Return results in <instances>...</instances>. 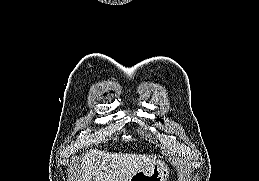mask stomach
I'll list each match as a JSON object with an SVG mask.
<instances>
[{
  "instance_id": "stomach-1",
  "label": "stomach",
  "mask_w": 259,
  "mask_h": 181,
  "mask_svg": "<svg viewBox=\"0 0 259 181\" xmlns=\"http://www.w3.org/2000/svg\"><path fill=\"white\" fill-rule=\"evenodd\" d=\"M167 179V167L163 163L157 161L146 167L144 170L133 174L129 181H167Z\"/></svg>"
}]
</instances>
